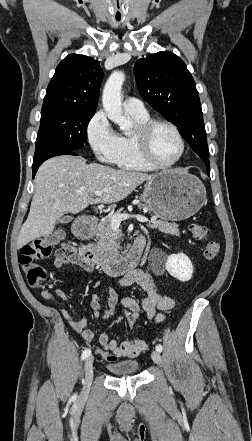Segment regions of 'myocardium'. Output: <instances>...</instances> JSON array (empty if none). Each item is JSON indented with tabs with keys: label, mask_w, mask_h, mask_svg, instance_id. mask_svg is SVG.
Instances as JSON below:
<instances>
[{
	"label": "myocardium",
	"mask_w": 252,
	"mask_h": 441,
	"mask_svg": "<svg viewBox=\"0 0 252 441\" xmlns=\"http://www.w3.org/2000/svg\"><path fill=\"white\" fill-rule=\"evenodd\" d=\"M159 126H165L171 129L180 143L179 154L169 163H158L155 161L151 153L150 138L153 131ZM134 140L141 159L153 169H167L173 167L183 158L186 151L185 139L180 130L175 124L166 120H149L148 122L139 125L134 133Z\"/></svg>",
	"instance_id": "obj_1"
}]
</instances>
